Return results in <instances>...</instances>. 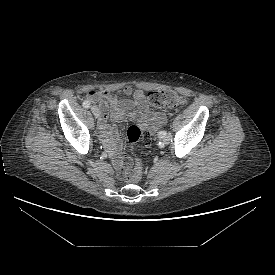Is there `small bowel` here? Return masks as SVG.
Wrapping results in <instances>:
<instances>
[{
	"instance_id": "c3829d8e",
	"label": "small bowel",
	"mask_w": 275,
	"mask_h": 275,
	"mask_svg": "<svg viewBox=\"0 0 275 275\" xmlns=\"http://www.w3.org/2000/svg\"><path fill=\"white\" fill-rule=\"evenodd\" d=\"M121 93L131 96L132 99L120 100L107 90L91 91L88 93V99L92 102H98L101 106L102 112L98 121L100 140L108 150L114 168L121 177H125L122 165L124 162L127 163L129 159L121 156L123 143L118 136L116 122L134 121L145 133L151 135L166 123L168 114L150 108L143 90H134L132 87L126 86L121 90Z\"/></svg>"
}]
</instances>
